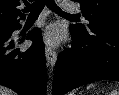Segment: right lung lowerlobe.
Listing matches in <instances>:
<instances>
[{
	"mask_svg": "<svg viewBox=\"0 0 119 95\" xmlns=\"http://www.w3.org/2000/svg\"><path fill=\"white\" fill-rule=\"evenodd\" d=\"M0 34V85L9 87L21 95H45L46 63L41 31L34 28L22 39L12 37L14 30ZM24 39L33 44L26 50L17 48Z\"/></svg>",
	"mask_w": 119,
	"mask_h": 95,
	"instance_id": "1",
	"label": "right lung lower lobe"
}]
</instances>
